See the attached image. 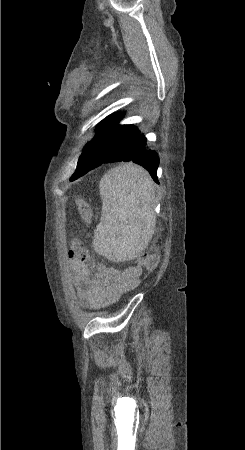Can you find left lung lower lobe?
I'll return each instance as SVG.
<instances>
[{
    "instance_id": "1",
    "label": "left lung lower lobe",
    "mask_w": 245,
    "mask_h": 450,
    "mask_svg": "<svg viewBox=\"0 0 245 450\" xmlns=\"http://www.w3.org/2000/svg\"><path fill=\"white\" fill-rule=\"evenodd\" d=\"M146 141L145 136L139 132L134 139L119 148L109 149L108 147L99 148V146H88L87 149L83 150L84 156L90 160L94 155L96 157L102 154L99 163L94 167L71 177L70 181L76 180L102 163L133 161L147 169L153 180L156 183H159L157 180V168L159 164L158 154L155 150H151L147 146Z\"/></svg>"
}]
</instances>
